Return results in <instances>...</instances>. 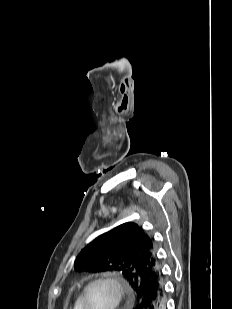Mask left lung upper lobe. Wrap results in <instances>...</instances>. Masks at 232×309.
Listing matches in <instances>:
<instances>
[{"label": "left lung upper lobe", "instance_id": "left-lung-upper-lobe-1", "mask_svg": "<svg viewBox=\"0 0 232 309\" xmlns=\"http://www.w3.org/2000/svg\"><path fill=\"white\" fill-rule=\"evenodd\" d=\"M77 271H118L139 301L151 277L159 271L154 240L135 223H124L89 243L75 260Z\"/></svg>", "mask_w": 232, "mask_h": 309}]
</instances>
